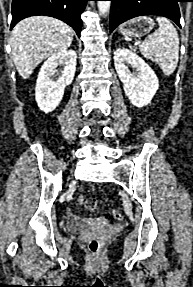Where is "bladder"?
<instances>
[{
  "mask_svg": "<svg viewBox=\"0 0 193 287\" xmlns=\"http://www.w3.org/2000/svg\"><path fill=\"white\" fill-rule=\"evenodd\" d=\"M88 225H90V222L87 219L80 216H73L67 221L66 228L70 232H77Z\"/></svg>",
  "mask_w": 193,
  "mask_h": 287,
  "instance_id": "31cf9c89",
  "label": "bladder"
}]
</instances>
